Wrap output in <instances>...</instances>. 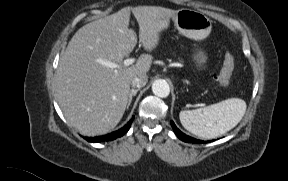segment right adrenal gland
<instances>
[{
    "label": "right adrenal gland",
    "mask_w": 288,
    "mask_h": 181,
    "mask_svg": "<svg viewBox=\"0 0 288 181\" xmlns=\"http://www.w3.org/2000/svg\"><path fill=\"white\" fill-rule=\"evenodd\" d=\"M140 90V88L138 89H131L130 93H129V101L127 104V109L129 108L131 102H132V97L135 96L137 94V92Z\"/></svg>",
    "instance_id": "1"
}]
</instances>
